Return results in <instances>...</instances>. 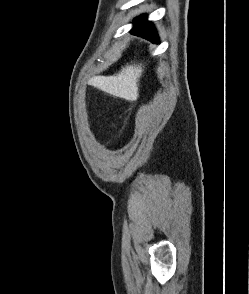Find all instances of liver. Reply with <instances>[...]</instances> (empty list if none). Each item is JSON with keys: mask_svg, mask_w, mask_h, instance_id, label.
I'll use <instances>...</instances> for the list:
<instances>
[{"mask_svg": "<svg viewBox=\"0 0 249 294\" xmlns=\"http://www.w3.org/2000/svg\"><path fill=\"white\" fill-rule=\"evenodd\" d=\"M142 72L141 65H127L116 75L93 77L91 83L111 95L133 100L139 95L138 82Z\"/></svg>", "mask_w": 249, "mask_h": 294, "instance_id": "obj_1", "label": "liver"}]
</instances>
